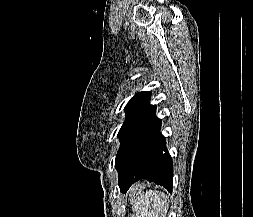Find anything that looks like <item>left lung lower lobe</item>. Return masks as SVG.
I'll use <instances>...</instances> for the list:
<instances>
[{
	"label": "left lung lower lobe",
	"instance_id": "obj_1",
	"mask_svg": "<svg viewBox=\"0 0 253 217\" xmlns=\"http://www.w3.org/2000/svg\"><path fill=\"white\" fill-rule=\"evenodd\" d=\"M155 111L154 106L121 141L115 160L121 192L143 178L172 191L173 163L160 133L161 120L155 116Z\"/></svg>",
	"mask_w": 253,
	"mask_h": 217
}]
</instances>
